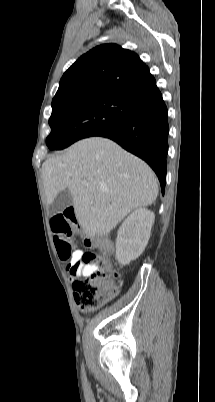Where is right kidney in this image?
I'll list each match as a JSON object with an SVG mask.
<instances>
[{
	"label": "right kidney",
	"mask_w": 215,
	"mask_h": 402,
	"mask_svg": "<svg viewBox=\"0 0 215 402\" xmlns=\"http://www.w3.org/2000/svg\"><path fill=\"white\" fill-rule=\"evenodd\" d=\"M154 218L153 212L139 208L122 223L116 239V258L120 264L127 265L142 254L150 238Z\"/></svg>",
	"instance_id": "right-kidney-1"
}]
</instances>
